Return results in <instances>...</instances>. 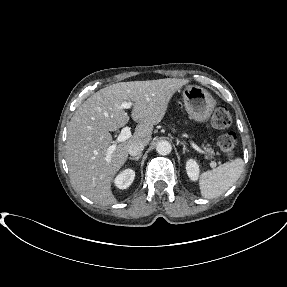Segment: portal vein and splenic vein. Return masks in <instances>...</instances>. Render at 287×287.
Wrapping results in <instances>:
<instances>
[{"instance_id": "1", "label": "portal vein and splenic vein", "mask_w": 287, "mask_h": 287, "mask_svg": "<svg viewBox=\"0 0 287 287\" xmlns=\"http://www.w3.org/2000/svg\"><path fill=\"white\" fill-rule=\"evenodd\" d=\"M132 102H122V104L119 106L120 109H130L132 107ZM131 130L130 127L126 126L121 130V133L118 135V137L116 138V140L114 141V144H112L109 148H108V154L113 153V151L116 149V145L118 143L124 142L126 140H128L131 137ZM192 147L197 150L199 153L205 154L206 152L201 149L199 146H197L196 144H194L193 142H191ZM212 167L216 166L215 162L211 163Z\"/></svg>"}]
</instances>
